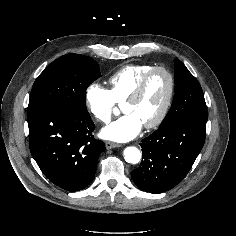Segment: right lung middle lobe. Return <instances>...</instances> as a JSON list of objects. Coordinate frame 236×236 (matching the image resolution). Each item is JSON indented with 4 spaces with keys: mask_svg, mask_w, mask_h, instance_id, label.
Returning <instances> with one entry per match:
<instances>
[{
    "mask_svg": "<svg viewBox=\"0 0 236 236\" xmlns=\"http://www.w3.org/2000/svg\"><path fill=\"white\" fill-rule=\"evenodd\" d=\"M99 77V65L92 58L79 54L61 56L35 80L28 110L53 107L86 112V89Z\"/></svg>",
    "mask_w": 236,
    "mask_h": 236,
    "instance_id": "obj_1",
    "label": "right lung middle lobe"
}]
</instances>
